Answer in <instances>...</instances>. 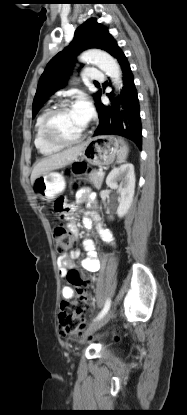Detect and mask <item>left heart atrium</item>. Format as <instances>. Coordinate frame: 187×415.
Masks as SVG:
<instances>
[{
	"mask_svg": "<svg viewBox=\"0 0 187 415\" xmlns=\"http://www.w3.org/2000/svg\"><path fill=\"white\" fill-rule=\"evenodd\" d=\"M76 113L83 119V121L87 124L92 116V106L88 99L85 96L79 97L76 101L75 105L73 106Z\"/></svg>",
	"mask_w": 187,
	"mask_h": 415,
	"instance_id": "obj_1",
	"label": "left heart atrium"
}]
</instances>
